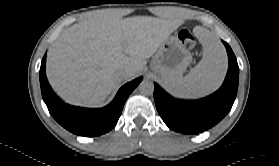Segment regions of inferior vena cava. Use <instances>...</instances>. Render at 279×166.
Instances as JSON below:
<instances>
[{
	"label": "inferior vena cava",
	"mask_w": 279,
	"mask_h": 166,
	"mask_svg": "<svg viewBox=\"0 0 279 166\" xmlns=\"http://www.w3.org/2000/svg\"><path fill=\"white\" fill-rule=\"evenodd\" d=\"M131 71L130 67H123L118 71L117 75L120 79L124 80L130 75Z\"/></svg>",
	"instance_id": "602c4592"
}]
</instances>
